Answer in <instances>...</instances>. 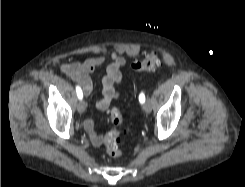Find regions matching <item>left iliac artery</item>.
<instances>
[{
  "instance_id": "44dca946",
  "label": "left iliac artery",
  "mask_w": 245,
  "mask_h": 187,
  "mask_svg": "<svg viewBox=\"0 0 245 187\" xmlns=\"http://www.w3.org/2000/svg\"><path fill=\"white\" fill-rule=\"evenodd\" d=\"M139 101H140V103H144L145 102V95H144V93H141L139 95Z\"/></svg>"
}]
</instances>
